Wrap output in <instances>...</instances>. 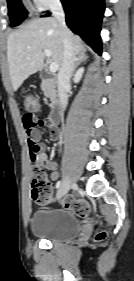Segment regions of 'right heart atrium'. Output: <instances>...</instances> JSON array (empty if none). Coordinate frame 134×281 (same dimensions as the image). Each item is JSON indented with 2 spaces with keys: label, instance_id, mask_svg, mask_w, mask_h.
I'll return each mask as SVG.
<instances>
[{
  "label": "right heart atrium",
  "instance_id": "right-heart-atrium-1",
  "mask_svg": "<svg viewBox=\"0 0 134 281\" xmlns=\"http://www.w3.org/2000/svg\"><path fill=\"white\" fill-rule=\"evenodd\" d=\"M59 0H31L34 8L40 11L47 10L55 5Z\"/></svg>",
  "mask_w": 134,
  "mask_h": 281
}]
</instances>
